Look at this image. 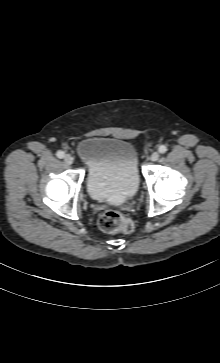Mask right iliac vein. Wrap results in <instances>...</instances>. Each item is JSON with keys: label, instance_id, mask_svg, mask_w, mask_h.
Segmentation results:
<instances>
[{"label": "right iliac vein", "instance_id": "1", "mask_svg": "<svg viewBox=\"0 0 220 363\" xmlns=\"http://www.w3.org/2000/svg\"><path fill=\"white\" fill-rule=\"evenodd\" d=\"M64 161L67 165H71L73 163V157L70 154H66L64 156Z\"/></svg>", "mask_w": 220, "mask_h": 363}]
</instances>
